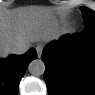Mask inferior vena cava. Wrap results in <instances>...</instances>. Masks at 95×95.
<instances>
[{
  "label": "inferior vena cava",
  "mask_w": 95,
  "mask_h": 95,
  "mask_svg": "<svg viewBox=\"0 0 95 95\" xmlns=\"http://www.w3.org/2000/svg\"><path fill=\"white\" fill-rule=\"evenodd\" d=\"M28 48L29 47L24 43H16L10 48V51L13 54L20 55V54L25 53L28 50Z\"/></svg>",
  "instance_id": "obj_1"
}]
</instances>
